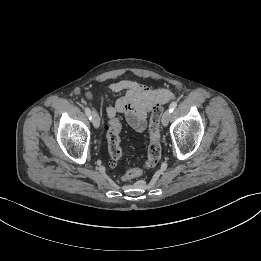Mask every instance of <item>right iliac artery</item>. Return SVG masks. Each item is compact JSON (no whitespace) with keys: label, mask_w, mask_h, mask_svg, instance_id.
<instances>
[{"label":"right iliac artery","mask_w":261,"mask_h":261,"mask_svg":"<svg viewBox=\"0 0 261 261\" xmlns=\"http://www.w3.org/2000/svg\"><path fill=\"white\" fill-rule=\"evenodd\" d=\"M85 113H86V115L89 117V119L91 120L92 119V117H91V110L88 108V107H85Z\"/></svg>","instance_id":"right-iliac-artery-1"}]
</instances>
